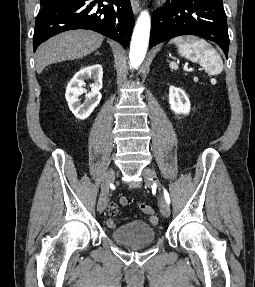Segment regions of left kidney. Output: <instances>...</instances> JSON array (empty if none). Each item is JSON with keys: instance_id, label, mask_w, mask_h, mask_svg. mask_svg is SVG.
Listing matches in <instances>:
<instances>
[{"instance_id": "1", "label": "left kidney", "mask_w": 255, "mask_h": 287, "mask_svg": "<svg viewBox=\"0 0 255 287\" xmlns=\"http://www.w3.org/2000/svg\"><path fill=\"white\" fill-rule=\"evenodd\" d=\"M169 104L175 114H189L190 112V100L181 88L170 86Z\"/></svg>"}]
</instances>
